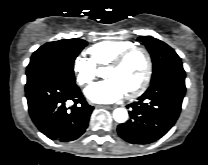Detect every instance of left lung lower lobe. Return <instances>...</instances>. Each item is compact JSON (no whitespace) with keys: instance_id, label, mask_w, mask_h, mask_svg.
Listing matches in <instances>:
<instances>
[{"instance_id":"left-lung-lower-lobe-1","label":"left lung lower lobe","mask_w":208,"mask_h":165,"mask_svg":"<svg viewBox=\"0 0 208 165\" xmlns=\"http://www.w3.org/2000/svg\"><path fill=\"white\" fill-rule=\"evenodd\" d=\"M185 72H172L151 83L138 102L129 104L130 119L118 125V134L131 144H148L175 124L185 95Z\"/></svg>"}]
</instances>
